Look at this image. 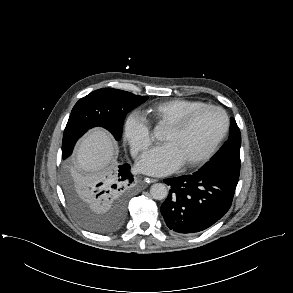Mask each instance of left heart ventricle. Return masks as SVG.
I'll return each mask as SVG.
<instances>
[{
	"label": "left heart ventricle",
	"mask_w": 293,
	"mask_h": 293,
	"mask_svg": "<svg viewBox=\"0 0 293 293\" xmlns=\"http://www.w3.org/2000/svg\"><path fill=\"white\" fill-rule=\"evenodd\" d=\"M223 127L222 114L207 110L199 114L182 132L175 133L166 129L163 141L174 148L184 164L205 153L222 132Z\"/></svg>",
	"instance_id": "obj_1"
}]
</instances>
